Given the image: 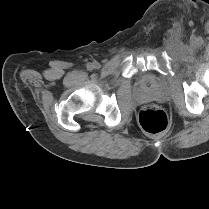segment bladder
<instances>
[{
  "mask_svg": "<svg viewBox=\"0 0 209 209\" xmlns=\"http://www.w3.org/2000/svg\"><path fill=\"white\" fill-rule=\"evenodd\" d=\"M153 85V80L151 78H145L142 83H141V87L144 90H149Z\"/></svg>",
  "mask_w": 209,
  "mask_h": 209,
  "instance_id": "obj_1",
  "label": "bladder"
}]
</instances>
